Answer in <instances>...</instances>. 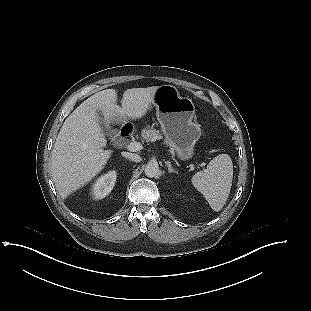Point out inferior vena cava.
Here are the masks:
<instances>
[{
    "label": "inferior vena cava",
    "instance_id": "inferior-vena-cava-1",
    "mask_svg": "<svg viewBox=\"0 0 311 311\" xmlns=\"http://www.w3.org/2000/svg\"><path fill=\"white\" fill-rule=\"evenodd\" d=\"M127 156L129 159H131L134 162H140L141 161V157L138 154L128 153Z\"/></svg>",
    "mask_w": 311,
    "mask_h": 311
}]
</instances>
